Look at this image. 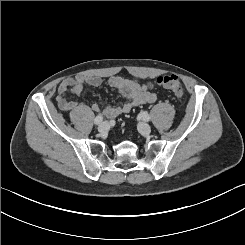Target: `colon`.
I'll return each instance as SVG.
<instances>
[{
    "label": "colon",
    "instance_id": "5ec220e1",
    "mask_svg": "<svg viewBox=\"0 0 245 245\" xmlns=\"http://www.w3.org/2000/svg\"><path fill=\"white\" fill-rule=\"evenodd\" d=\"M156 84L158 86H161L162 88H165L172 93H174L176 96L181 97L184 93V87L180 79L172 74L168 75H161L157 77Z\"/></svg>",
    "mask_w": 245,
    "mask_h": 245
}]
</instances>
